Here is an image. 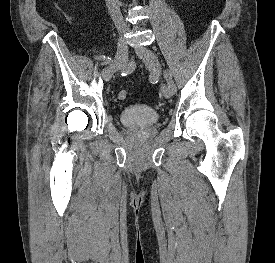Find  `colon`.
<instances>
[{"mask_svg":"<svg viewBox=\"0 0 275 263\" xmlns=\"http://www.w3.org/2000/svg\"><path fill=\"white\" fill-rule=\"evenodd\" d=\"M128 97V92L127 90H124V89H120L118 92H117V98L119 100H125L127 99Z\"/></svg>","mask_w":275,"mask_h":263,"instance_id":"1","label":"colon"}]
</instances>
